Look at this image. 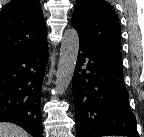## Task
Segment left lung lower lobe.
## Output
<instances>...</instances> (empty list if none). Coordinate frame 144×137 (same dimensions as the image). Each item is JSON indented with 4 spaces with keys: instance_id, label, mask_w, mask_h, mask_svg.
<instances>
[{
    "instance_id": "0a47b994",
    "label": "left lung lower lobe",
    "mask_w": 144,
    "mask_h": 137,
    "mask_svg": "<svg viewBox=\"0 0 144 137\" xmlns=\"http://www.w3.org/2000/svg\"><path fill=\"white\" fill-rule=\"evenodd\" d=\"M72 87L78 137H139L128 103L122 60L80 40Z\"/></svg>"
}]
</instances>
